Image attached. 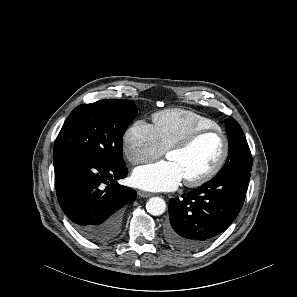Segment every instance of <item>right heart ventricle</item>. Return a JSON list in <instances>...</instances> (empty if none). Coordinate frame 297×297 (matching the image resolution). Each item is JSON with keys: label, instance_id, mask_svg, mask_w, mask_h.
Here are the masks:
<instances>
[{"label": "right heart ventricle", "instance_id": "e07e8e85", "mask_svg": "<svg viewBox=\"0 0 297 297\" xmlns=\"http://www.w3.org/2000/svg\"><path fill=\"white\" fill-rule=\"evenodd\" d=\"M153 126L163 149L188 133L206 127H217L209 118L187 110H167L153 116Z\"/></svg>", "mask_w": 297, "mask_h": 297}]
</instances>
